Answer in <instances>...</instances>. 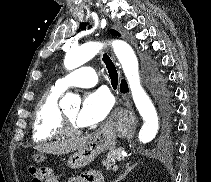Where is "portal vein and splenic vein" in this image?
Listing matches in <instances>:
<instances>
[{
  "instance_id": "18ae733b",
  "label": "portal vein and splenic vein",
  "mask_w": 211,
  "mask_h": 182,
  "mask_svg": "<svg viewBox=\"0 0 211 182\" xmlns=\"http://www.w3.org/2000/svg\"><path fill=\"white\" fill-rule=\"evenodd\" d=\"M118 170V167L117 166H114L113 167V171H117Z\"/></svg>"
}]
</instances>
